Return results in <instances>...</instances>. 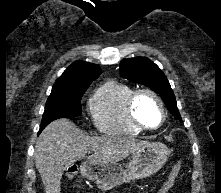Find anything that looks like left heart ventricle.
I'll use <instances>...</instances> for the list:
<instances>
[{"mask_svg": "<svg viewBox=\"0 0 221 193\" xmlns=\"http://www.w3.org/2000/svg\"><path fill=\"white\" fill-rule=\"evenodd\" d=\"M136 114L142 122L150 127L157 126L161 119L157 102L149 96H143L138 100Z\"/></svg>", "mask_w": 221, "mask_h": 193, "instance_id": "b2bd125f", "label": "left heart ventricle"}]
</instances>
